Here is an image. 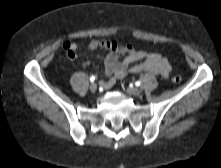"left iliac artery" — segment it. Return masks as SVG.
Segmentation results:
<instances>
[{
	"label": "left iliac artery",
	"mask_w": 221,
	"mask_h": 168,
	"mask_svg": "<svg viewBox=\"0 0 221 168\" xmlns=\"http://www.w3.org/2000/svg\"><path fill=\"white\" fill-rule=\"evenodd\" d=\"M135 85H136V86H140V85H141L140 81H136V82H135Z\"/></svg>",
	"instance_id": "left-iliac-artery-1"
}]
</instances>
